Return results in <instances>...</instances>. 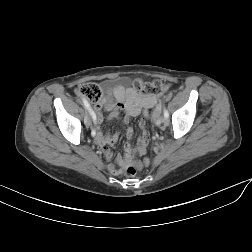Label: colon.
Here are the masks:
<instances>
[{
  "label": "colon",
  "mask_w": 252,
  "mask_h": 252,
  "mask_svg": "<svg viewBox=\"0 0 252 252\" xmlns=\"http://www.w3.org/2000/svg\"><path fill=\"white\" fill-rule=\"evenodd\" d=\"M133 85L136 91L145 95L162 94L167 89V85L161 80H156L153 83H144L141 80H135ZM78 94L91 103L99 102L102 97L101 89L95 83H86L81 85L78 88ZM148 116V112H146L145 117L148 118ZM139 168V164H131L126 167L125 175L127 177H134Z\"/></svg>",
  "instance_id": "colon-1"
}]
</instances>
